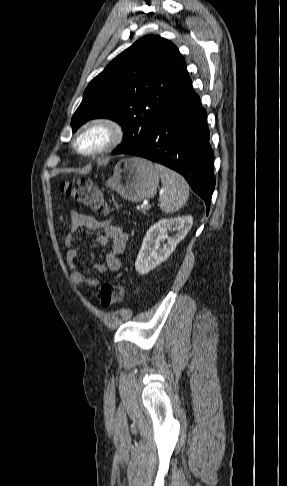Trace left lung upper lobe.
Here are the masks:
<instances>
[{
	"mask_svg": "<svg viewBox=\"0 0 287 486\" xmlns=\"http://www.w3.org/2000/svg\"><path fill=\"white\" fill-rule=\"evenodd\" d=\"M190 82L178 48L160 36H144L89 83L72 116L73 132L90 119L110 118L124 131L113 154L138 147Z\"/></svg>",
	"mask_w": 287,
	"mask_h": 486,
	"instance_id": "obj_1",
	"label": "left lung upper lobe"
}]
</instances>
